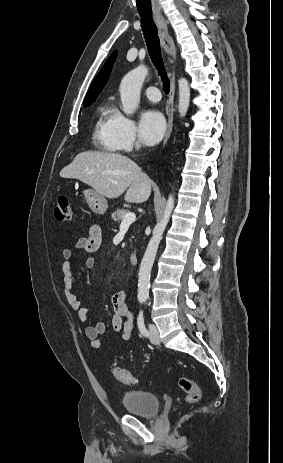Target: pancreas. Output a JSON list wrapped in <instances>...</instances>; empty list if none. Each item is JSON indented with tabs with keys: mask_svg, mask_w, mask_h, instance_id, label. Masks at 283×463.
<instances>
[{
	"mask_svg": "<svg viewBox=\"0 0 283 463\" xmlns=\"http://www.w3.org/2000/svg\"><path fill=\"white\" fill-rule=\"evenodd\" d=\"M129 213V211L125 209H117L115 212L112 213L111 218L115 222H120L124 219L125 215Z\"/></svg>",
	"mask_w": 283,
	"mask_h": 463,
	"instance_id": "pancreas-1",
	"label": "pancreas"
}]
</instances>
